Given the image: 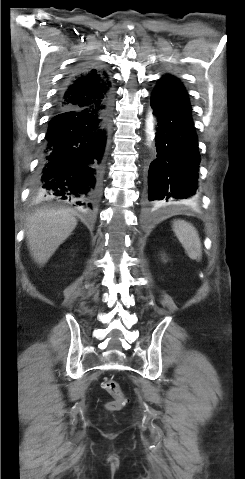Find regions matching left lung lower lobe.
I'll use <instances>...</instances> for the list:
<instances>
[{
  "instance_id": "1",
  "label": "left lung lower lobe",
  "mask_w": 245,
  "mask_h": 479,
  "mask_svg": "<svg viewBox=\"0 0 245 479\" xmlns=\"http://www.w3.org/2000/svg\"><path fill=\"white\" fill-rule=\"evenodd\" d=\"M157 117L156 158L148 172L146 202L178 205L197 194L199 152L191 106L180 81L163 76L151 96Z\"/></svg>"
}]
</instances>
